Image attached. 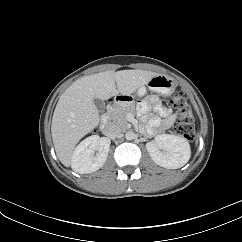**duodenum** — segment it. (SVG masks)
<instances>
[{"instance_id": "obj_1", "label": "duodenum", "mask_w": 242, "mask_h": 242, "mask_svg": "<svg viewBox=\"0 0 242 242\" xmlns=\"http://www.w3.org/2000/svg\"><path fill=\"white\" fill-rule=\"evenodd\" d=\"M120 101L119 97H116L114 100H112L107 107L106 113L102 116V120L100 123V128L104 133H109L110 132V127H109V117L110 113L113 109V107L118 104Z\"/></svg>"}]
</instances>
